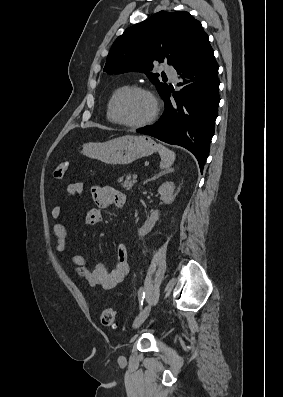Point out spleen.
Instances as JSON below:
<instances>
[{"label": "spleen", "mask_w": 283, "mask_h": 397, "mask_svg": "<svg viewBox=\"0 0 283 397\" xmlns=\"http://www.w3.org/2000/svg\"><path fill=\"white\" fill-rule=\"evenodd\" d=\"M158 152L161 157L160 168L169 169L175 161V153L161 144H158Z\"/></svg>", "instance_id": "3e777b00"}]
</instances>
